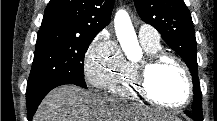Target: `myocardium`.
I'll return each mask as SVG.
<instances>
[{
	"instance_id": "myocardium-1",
	"label": "myocardium",
	"mask_w": 217,
	"mask_h": 121,
	"mask_svg": "<svg viewBox=\"0 0 217 121\" xmlns=\"http://www.w3.org/2000/svg\"><path fill=\"white\" fill-rule=\"evenodd\" d=\"M166 60L172 61L180 68L187 83L186 97L181 103L175 105L166 104L154 96L149 84L150 72ZM135 82L138 92L141 96H143L148 101L169 110H180L186 107L191 102L194 94L191 73L186 64L178 56L164 51H159L154 54L147 55L144 59L135 64Z\"/></svg>"
}]
</instances>
